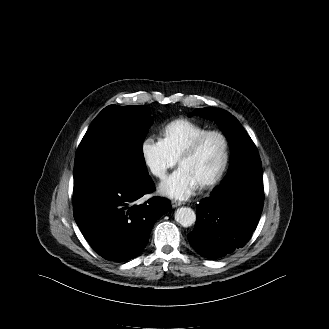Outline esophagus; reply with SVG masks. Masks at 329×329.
Segmentation results:
<instances>
[{"label":"esophagus","instance_id":"34e87169","mask_svg":"<svg viewBox=\"0 0 329 329\" xmlns=\"http://www.w3.org/2000/svg\"><path fill=\"white\" fill-rule=\"evenodd\" d=\"M182 204H183L182 202H180V201H176V200H173V201L171 202V205H172L173 208H176V207H178V206H181Z\"/></svg>","mask_w":329,"mask_h":329}]
</instances>
